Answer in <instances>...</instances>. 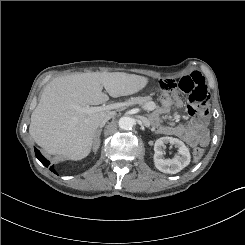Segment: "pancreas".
I'll return each mask as SVG.
<instances>
[{
    "label": "pancreas",
    "mask_w": 245,
    "mask_h": 245,
    "mask_svg": "<svg viewBox=\"0 0 245 245\" xmlns=\"http://www.w3.org/2000/svg\"><path fill=\"white\" fill-rule=\"evenodd\" d=\"M149 101H151L150 97H132L126 103L127 105H145Z\"/></svg>",
    "instance_id": "obj_1"
}]
</instances>
